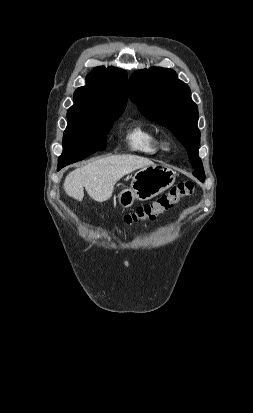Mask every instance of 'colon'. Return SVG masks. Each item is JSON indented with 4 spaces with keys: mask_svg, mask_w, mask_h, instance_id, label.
I'll use <instances>...</instances> for the list:
<instances>
[{
    "mask_svg": "<svg viewBox=\"0 0 253 413\" xmlns=\"http://www.w3.org/2000/svg\"><path fill=\"white\" fill-rule=\"evenodd\" d=\"M196 190L193 181H182L170 188V190L158 197L152 203L138 207L134 212L124 216L127 226H134L141 222L154 220L159 214L169 210L182 198L192 196Z\"/></svg>",
    "mask_w": 253,
    "mask_h": 413,
    "instance_id": "5ec220e1",
    "label": "colon"
}]
</instances>
